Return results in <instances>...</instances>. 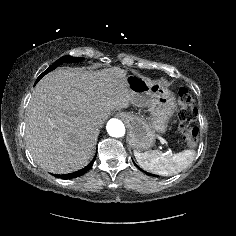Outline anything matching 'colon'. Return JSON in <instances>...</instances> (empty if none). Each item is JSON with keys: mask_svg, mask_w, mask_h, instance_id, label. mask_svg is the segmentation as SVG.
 Instances as JSON below:
<instances>
[{"mask_svg": "<svg viewBox=\"0 0 236 236\" xmlns=\"http://www.w3.org/2000/svg\"><path fill=\"white\" fill-rule=\"evenodd\" d=\"M178 101L180 105L178 134L187 146L195 147L199 142V130L194 125L196 109L193 97L188 89H179Z\"/></svg>", "mask_w": 236, "mask_h": 236, "instance_id": "obj_1", "label": "colon"}]
</instances>
